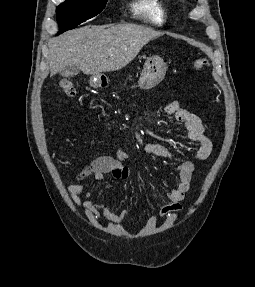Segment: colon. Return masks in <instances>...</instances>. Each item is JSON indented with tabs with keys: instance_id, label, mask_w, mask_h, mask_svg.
I'll use <instances>...</instances> for the list:
<instances>
[{
	"instance_id": "5ec220e1",
	"label": "colon",
	"mask_w": 255,
	"mask_h": 287,
	"mask_svg": "<svg viewBox=\"0 0 255 287\" xmlns=\"http://www.w3.org/2000/svg\"><path fill=\"white\" fill-rule=\"evenodd\" d=\"M208 65L209 63L205 58L200 57L194 61V68L196 70H203L207 68ZM57 89L66 96H74L76 94V88L72 76L67 75L61 78L57 83Z\"/></svg>"
}]
</instances>
